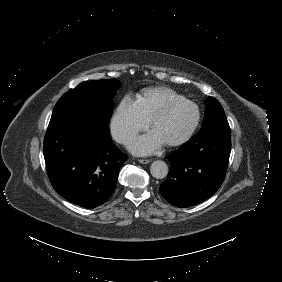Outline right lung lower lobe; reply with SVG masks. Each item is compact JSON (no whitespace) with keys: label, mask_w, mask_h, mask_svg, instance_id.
Segmentation results:
<instances>
[{"label":"right lung lower lobe","mask_w":282,"mask_h":282,"mask_svg":"<svg viewBox=\"0 0 282 282\" xmlns=\"http://www.w3.org/2000/svg\"><path fill=\"white\" fill-rule=\"evenodd\" d=\"M108 125L84 109H71L51 118L45 135L44 158L53 188L85 208L111 197L128 158L113 144Z\"/></svg>","instance_id":"obj_1"}]
</instances>
